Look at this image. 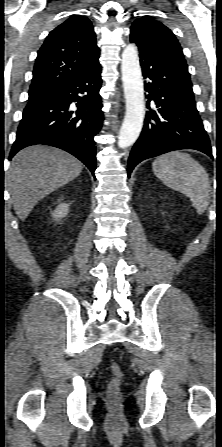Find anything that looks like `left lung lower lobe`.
Listing matches in <instances>:
<instances>
[{"mask_svg":"<svg viewBox=\"0 0 222 447\" xmlns=\"http://www.w3.org/2000/svg\"><path fill=\"white\" fill-rule=\"evenodd\" d=\"M136 45L143 76L149 80L145 82L149 110L128 159V176L141 161L173 150L195 149L213 157L196 109L188 71L164 54ZM151 101L155 103L154 109L150 107Z\"/></svg>","mask_w":222,"mask_h":447,"instance_id":"obj_1","label":"left lung lower lobe"}]
</instances>
